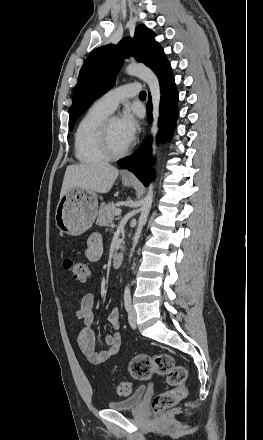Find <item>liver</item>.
<instances>
[{"label":"liver","mask_w":263,"mask_h":440,"mask_svg":"<svg viewBox=\"0 0 263 440\" xmlns=\"http://www.w3.org/2000/svg\"><path fill=\"white\" fill-rule=\"evenodd\" d=\"M119 170L109 163H85L66 168L60 197L71 189H82L94 193H108Z\"/></svg>","instance_id":"1"}]
</instances>
